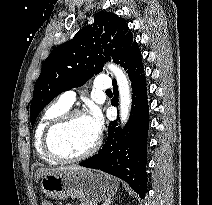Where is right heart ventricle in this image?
I'll return each instance as SVG.
<instances>
[{
	"instance_id": "1",
	"label": "right heart ventricle",
	"mask_w": 212,
	"mask_h": 205,
	"mask_svg": "<svg viewBox=\"0 0 212 205\" xmlns=\"http://www.w3.org/2000/svg\"><path fill=\"white\" fill-rule=\"evenodd\" d=\"M69 110V107L59 100L48 106L41 115L34 132V147L37 154L47 163L55 164L56 160L48 156L43 148V135L48 125L59 115Z\"/></svg>"
}]
</instances>
